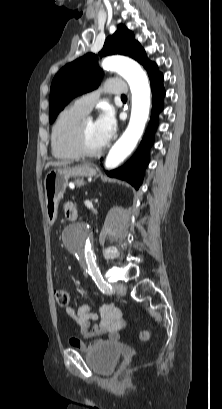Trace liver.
Returning a JSON list of instances; mask_svg holds the SVG:
<instances>
[{
	"label": "liver",
	"instance_id": "6515ba94",
	"mask_svg": "<svg viewBox=\"0 0 222 409\" xmlns=\"http://www.w3.org/2000/svg\"><path fill=\"white\" fill-rule=\"evenodd\" d=\"M66 165H67V162H48L45 166V169H47L50 166L58 167V166H66Z\"/></svg>",
	"mask_w": 222,
	"mask_h": 409
}]
</instances>
